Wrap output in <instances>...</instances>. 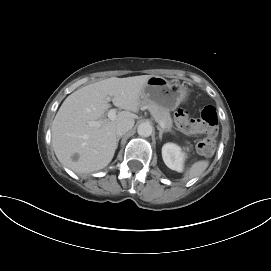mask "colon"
I'll list each match as a JSON object with an SVG mask.
<instances>
[{"label":"colon","mask_w":271,"mask_h":271,"mask_svg":"<svg viewBox=\"0 0 271 271\" xmlns=\"http://www.w3.org/2000/svg\"><path fill=\"white\" fill-rule=\"evenodd\" d=\"M177 126L185 133L196 134L204 133L197 144V149L202 155H211L215 149V134L218 126L217 111L213 106H206L201 111L198 119H192L189 113L184 109H178L174 115Z\"/></svg>","instance_id":"colon-1"}]
</instances>
